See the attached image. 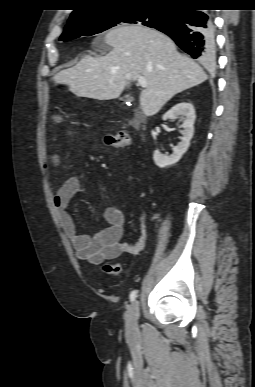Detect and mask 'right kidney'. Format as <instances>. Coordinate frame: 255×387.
I'll return each mask as SVG.
<instances>
[{
  "instance_id": "right-kidney-1",
  "label": "right kidney",
  "mask_w": 255,
  "mask_h": 387,
  "mask_svg": "<svg viewBox=\"0 0 255 387\" xmlns=\"http://www.w3.org/2000/svg\"><path fill=\"white\" fill-rule=\"evenodd\" d=\"M176 116H180V121L183 122L181 142L173 148V153L171 155H163L158 150L154 151V162L160 168L177 163L187 151L190 140L193 137L194 122L196 118L193 105L187 102L178 103L164 114L163 120L173 119Z\"/></svg>"
}]
</instances>
